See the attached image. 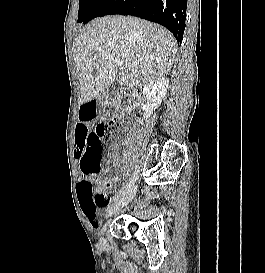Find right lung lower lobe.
I'll return each instance as SVG.
<instances>
[{
	"label": "right lung lower lobe",
	"mask_w": 265,
	"mask_h": 273,
	"mask_svg": "<svg viewBox=\"0 0 265 273\" xmlns=\"http://www.w3.org/2000/svg\"><path fill=\"white\" fill-rule=\"evenodd\" d=\"M186 0H117L107 15H133L158 23L182 43L186 20Z\"/></svg>",
	"instance_id": "right-lung-lower-lobe-1"
}]
</instances>
